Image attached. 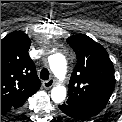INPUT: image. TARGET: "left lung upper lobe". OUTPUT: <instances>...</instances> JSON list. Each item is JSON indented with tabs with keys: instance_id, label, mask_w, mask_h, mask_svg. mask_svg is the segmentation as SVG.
<instances>
[{
	"instance_id": "5c2ea615",
	"label": "left lung upper lobe",
	"mask_w": 122,
	"mask_h": 122,
	"mask_svg": "<svg viewBox=\"0 0 122 122\" xmlns=\"http://www.w3.org/2000/svg\"><path fill=\"white\" fill-rule=\"evenodd\" d=\"M77 56L65 104L95 116L108 103L114 87V66L105 48L86 35L67 39Z\"/></svg>"
}]
</instances>
